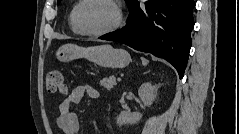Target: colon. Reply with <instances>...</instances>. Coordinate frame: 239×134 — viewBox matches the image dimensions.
I'll use <instances>...</instances> for the list:
<instances>
[{
  "label": "colon",
  "mask_w": 239,
  "mask_h": 134,
  "mask_svg": "<svg viewBox=\"0 0 239 134\" xmlns=\"http://www.w3.org/2000/svg\"><path fill=\"white\" fill-rule=\"evenodd\" d=\"M46 89L52 95H63L66 93L64 78L60 71L54 70L48 73Z\"/></svg>",
  "instance_id": "obj_1"
}]
</instances>
